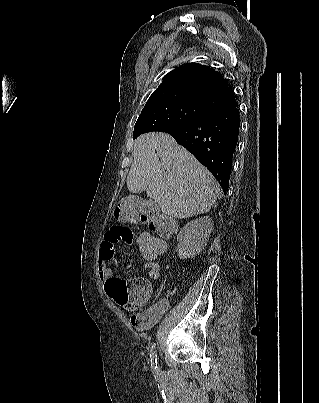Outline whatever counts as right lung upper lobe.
<instances>
[{
	"label": "right lung upper lobe",
	"mask_w": 319,
	"mask_h": 403,
	"mask_svg": "<svg viewBox=\"0 0 319 403\" xmlns=\"http://www.w3.org/2000/svg\"><path fill=\"white\" fill-rule=\"evenodd\" d=\"M193 103L210 112L237 107L222 75L197 63L179 66L169 72L148 99L145 107L160 103Z\"/></svg>",
	"instance_id": "obj_1"
}]
</instances>
